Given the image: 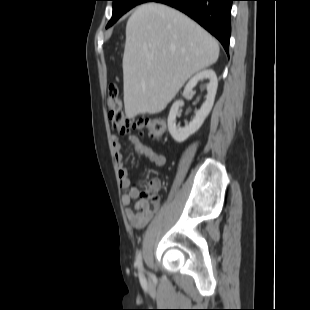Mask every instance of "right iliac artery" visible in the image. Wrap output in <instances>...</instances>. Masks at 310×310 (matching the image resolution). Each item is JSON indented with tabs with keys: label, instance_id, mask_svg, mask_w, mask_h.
Wrapping results in <instances>:
<instances>
[{
	"label": "right iliac artery",
	"instance_id": "1",
	"mask_svg": "<svg viewBox=\"0 0 310 310\" xmlns=\"http://www.w3.org/2000/svg\"><path fill=\"white\" fill-rule=\"evenodd\" d=\"M136 265L139 267V270L142 271V262L140 252L137 253Z\"/></svg>",
	"mask_w": 310,
	"mask_h": 310
}]
</instances>
